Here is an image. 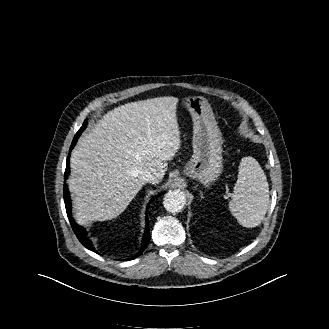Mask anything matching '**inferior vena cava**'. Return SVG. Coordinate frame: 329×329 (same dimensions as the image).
<instances>
[{
	"instance_id": "1",
	"label": "inferior vena cava",
	"mask_w": 329,
	"mask_h": 329,
	"mask_svg": "<svg viewBox=\"0 0 329 329\" xmlns=\"http://www.w3.org/2000/svg\"><path fill=\"white\" fill-rule=\"evenodd\" d=\"M139 178L143 183H154L157 181L156 176L150 170L142 172Z\"/></svg>"
}]
</instances>
